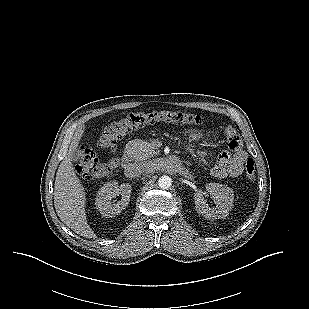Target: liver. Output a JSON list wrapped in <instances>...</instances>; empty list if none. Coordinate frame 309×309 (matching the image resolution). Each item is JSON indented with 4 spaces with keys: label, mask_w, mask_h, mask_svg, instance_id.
<instances>
[{
    "label": "liver",
    "mask_w": 309,
    "mask_h": 309,
    "mask_svg": "<svg viewBox=\"0 0 309 309\" xmlns=\"http://www.w3.org/2000/svg\"><path fill=\"white\" fill-rule=\"evenodd\" d=\"M84 132L80 126L75 132L67 156L60 163L54 185V206L60 220L77 234L94 239L96 235L87 223L85 192L72 165L71 151L77 149Z\"/></svg>",
    "instance_id": "obj_1"
}]
</instances>
